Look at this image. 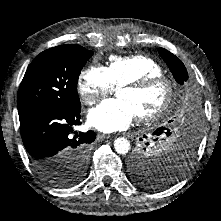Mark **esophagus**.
Returning a JSON list of instances; mask_svg holds the SVG:
<instances>
[{"label":"esophagus","mask_w":221,"mask_h":221,"mask_svg":"<svg viewBox=\"0 0 221 221\" xmlns=\"http://www.w3.org/2000/svg\"><path fill=\"white\" fill-rule=\"evenodd\" d=\"M98 137L101 138V139H108V138H110V135L99 134Z\"/></svg>","instance_id":"esophagus-1"}]
</instances>
